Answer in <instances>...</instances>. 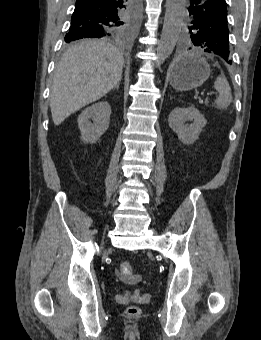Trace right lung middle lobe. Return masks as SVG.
<instances>
[{"label":"right lung middle lobe","mask_w":261,"mask_h":340,"mask_svg":"<svg viewBox=\"0 0 261 340\" xmlns=\"http://www.w3.org/2000/svg\"><path fill=\"white\" fill-rule=\"evenodd\" d=\"M136 7L134 2L130 3L127 9L124 10L121 18L116 22L111 23L106 30L101 34L100 37L111 38V39H125L131 32L132 21L134 19ZM99 37V38H100ZM84 38L79 32H69L65 36L67 43L76 41Z\"/></svg>","instance_id":"obj_1"}]
</instances>
